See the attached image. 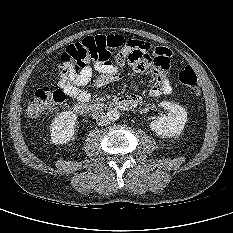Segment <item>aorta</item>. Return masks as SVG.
Instances as JSON below:
<instances>
[{"mask_svg": "<svg viewBox=\"0 0 233 233\" xmlns=\"http://www.w3.org/2000/svg\"><path fill=\"white\" fill-rule=\"evenodd\" d=\"M106 115L108 116L110 121H116L120 118L121 113L118 109L112 108V109L108 110Z\"/></svg>", "mask_w": 233, "mask_h": 233, "instance_id": "aorta-1", "label": "aorta"}]
</instances>
